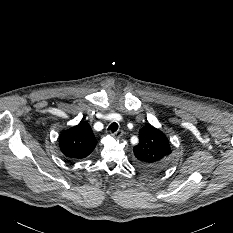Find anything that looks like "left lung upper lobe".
<instances>
[{"label": "left lung upper lobe", "instance_id": "left-lung-upper-lobe-1", "mask_svg": "<svg viewBox=\"0 0 233 233\" xmlns=\"http://www.w3.org/2000/svg\"><path fill=\"white\" fill-rule=\"evenodd\" d=\"M140 142L134 147L138 167L146 173L156 174L168 166L167 157L171 153L167 137L151 125L139 132Z\"/></svg>", "mask_w": 233, "mask_h": 233}]
</instances>
